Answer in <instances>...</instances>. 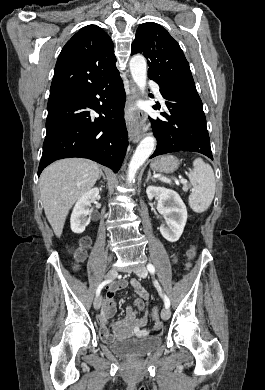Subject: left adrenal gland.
<instances>
[{"instance_id":"a2214340","label":"left adrenal gland","mask_w":265,"mask_h":390,"mask_svg":"<svg viewBox=\"0 0 265 390\" xmlns=\"http://www.w3.org/2000/svg\"><path fill=\"white\" fill-rule=\"evenodd\" d=\"M152 180V181H154L155 182V178H153L152 176H151V172L150 171H148V176H147V178H146V181H145V183H147L149 180Z\"/></svg>"}]
</instances>
